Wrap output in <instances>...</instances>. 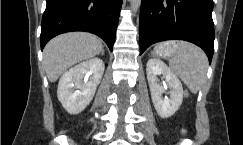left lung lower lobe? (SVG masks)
<instances>
[{
  "instance_id": "0a47b994",
  "label": "left lung lower lobe",
  "mask_w": 243,
  "mask_h": 145,
  "mask_svg": "<svg viewBox=\"0 0 243 145\" xmlns=\"http://www.w3.org/2000/svg\"><path fill=\"white\" fill-rule=\"evenodd\" d=\"M213 0H142L140 54L151 44L170 39L201 47L211 62L214 51Z\"/></svg>"
}]
</instances>
